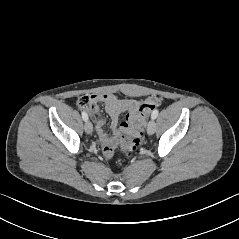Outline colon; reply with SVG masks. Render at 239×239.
<instances>
[{
    "instance_id": "1",
    "label": "colon",
    "mask_w": 239,
    "mask_h": 239,
    "mask_svg": "<svg viewBox=\"0 0 239 239\" xmlns=\"http://www.w3.org/2000/svg\"><path fill=\"white\" fill-rule=\"evenodd\" d=\"M79 107L89 110L92 103L90 97L83 96L77 101ZM154 104H142L136 113L130 115L125 122L122 123L123 134L119 140L118 151L126 157L137 149L141 142L146 118L153 109Z\"/></svg>"
}]
</instances>
